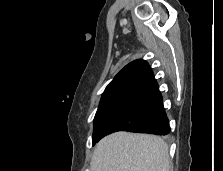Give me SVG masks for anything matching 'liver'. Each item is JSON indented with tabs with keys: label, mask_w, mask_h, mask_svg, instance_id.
<instances>
[{
	"label": "liver",
	"mask_w": 223,
	"mask_h": 171,
	"mask_svg": "<svg viewBox=\"0 0 223 171\" xmlns=\"http://www.w3.org/2000/svg\"><path fill=\"white\" fill-rule=\"evenodd\" d=\"M91 171H171L168 146L154 135L116 132L96 146Z\"/></svg>",
	"instance_id": "obj_1"
}]
</instances>
